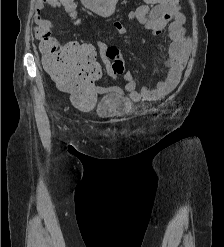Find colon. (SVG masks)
Listing matches in <instances>:
<instances>
[{
	"instance_id": "colon-1",
	"label": "colon",
	"mask_w": 224,
	"mask_h": 247,
	"mask_svg": "<svg viewBox=\"0 0 224 247\" xmlns=\"http://www.w3.org/2000/svg\"><path fill=\"white\" fill-rule=\"evenodd\" d=\"M144 2L162 7H169L175 0H144ZM61 7L74 14L73 0H62ZM40 38L44 41L47 55L44 66L59 86L71 93L72 102L80 108H91L97 97L91 83L101 75V68L95 61V50L90 45L72 44L57 50V42L49 31H42ZM110 68L114 74H121L124 62L116 47H108L105 51Z\"/></svg>"
}]
</instances>
